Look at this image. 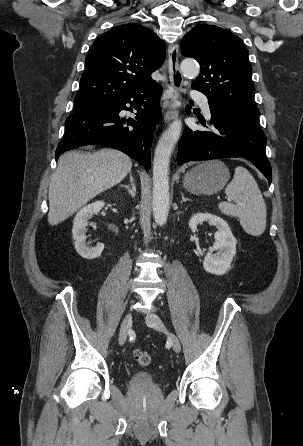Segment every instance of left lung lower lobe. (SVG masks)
<instances>
[{
  "label": "left lung lower lobe",
  "instance_id": "1",
  "mask_svg": "<svg viewBox=\"0 0 303 446\" xmlns=\"http://www.w3.org/2000/svg\"><path fill=\"white\" fill-rule=\"evenodd\" d=\"M208 103L211 111V131L185 129L179 142L178 164L243 157L251 161L270 184L271 166L266 156V136L263 131L231 114L219 103L211 100Z\"/></svg>",
  "mask_w": 303,
  "mask_h": 446
}]
</instances>
